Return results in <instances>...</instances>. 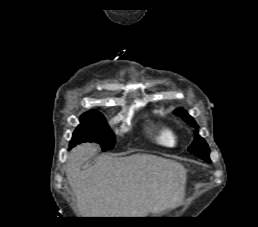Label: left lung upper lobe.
I'll use <instances>...</instances> for the list:
<instances>
[{"label": "left lung upper lobe", "instance_id": "1", "mask_svg": "<svg viewBox=\"0 0 258 227\" xmlns=\"http://www.w3.org/2000/svg\"><path fill=\"white\" fill-rule=\"evenodd\" d=\"M177 116H180L185 122L193 126L194 128H198L196 122L194 119L184 110L182 109H176L174 112ZM188 150L195 154L197 157L207 161L211 162L209 159V148L206 143V141L200 137L198 134L195 136V139L193 143L189 146Z\"/></svg>", "mask_w": 258, "mask_h": 227}]
</instances>
